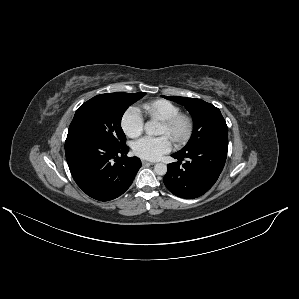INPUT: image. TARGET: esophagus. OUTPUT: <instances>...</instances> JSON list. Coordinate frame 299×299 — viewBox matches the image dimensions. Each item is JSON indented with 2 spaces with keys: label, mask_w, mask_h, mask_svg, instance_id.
Returning a JSON list of instances; mask_svg holds the SVG:
<instances>
[{
  "label": "esophagus",
  "mask_w": 299,
  "mask_h": 299,
  "mask_svg": "<svg viewBox=\"0 0 299 299\" xmlns=\"http://www.w3.org/2000/svg\"><path fill=\"white\" fill-rule=\"evenodd\" d=\"M142 164H143V165H153L154 163H153V162L146 161V160H142Z\"/></svg>",
  "instance_id": "esophagus-1"
}]
</instances>
